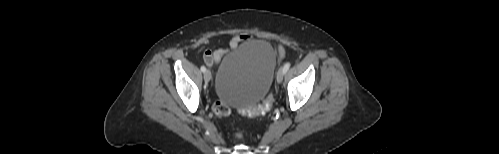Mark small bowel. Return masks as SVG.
Here are the masks:
<instances>
[{
    "mask_svg": "<svg viewBox=\"0 0 499 154\" xmlns=\"http://www.w3.org/2000/svg\"><path fill=\"white\" fill-rule=\"evenodd\" d=\"M251 39H252V37L250 35H247V34L236 35L230 39L228 47L217 49L214 52L210 51L209 57L204 56L205 62L209 66L214 67V66L218 65L221 58L226 53H228L230 50L236 49L240 43L247 41V40H251Z\"/></svg>",
    "mask_w": 499,
    "mask_h": 154,
    "instance_id": "obj_1",
    "label": "small bowel"
}]
</instances>
